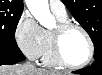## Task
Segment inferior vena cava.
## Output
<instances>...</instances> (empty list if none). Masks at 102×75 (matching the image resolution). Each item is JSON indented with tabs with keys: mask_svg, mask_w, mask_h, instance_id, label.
<instances>
[{
	"mask_svg": "<svg viewBox=\"0 0 102 75\" xmlns=\"http://www.w3.org/2000/svg\"><path fill=\"white\" fill-rule=\"evenodd\" d=\"M28 67H32V68H35L34 65L30 64L29 62L26 64Z\"/></svg>",
	"mask_w": 102,
	"mask_h": 75,
	"instance_id": "1",
	"label": "inferior vena cava"
}]
</instances>
